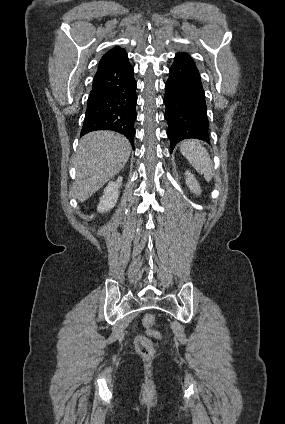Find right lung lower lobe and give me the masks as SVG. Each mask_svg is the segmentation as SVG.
<instances>
[{
    "label": "right lung lower lobe",
    "mask_w": 285,
    "mask_h": 424,
    "mask_svg": "<svg viewBox=\"0 0 285 424\" xmlns=\"http://www.w3.org/2000/svg\"><path fill=\"white\" fill-rule=\"evenodd\" d=\"M135 90L134 70L128 57L100 66L93 79L81 135L112 130L126 136L134 148Z\"/></svg>",
    "instance_id": "obj_1"
}]
</instances>
